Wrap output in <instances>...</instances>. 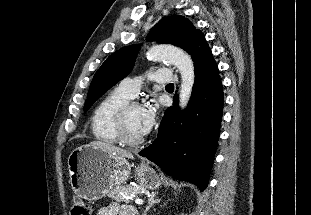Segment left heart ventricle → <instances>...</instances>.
Masks as SVG:
<instances>
[{"label": "left heart ventricle", "instance_id": "b2bd125f", "mask_svg": "<svg viewBox=\"0 0 311 215\" xmlns=\"http://www.w3.org/2000/svg\"><path fill=\"white\" fill-rule=\"evenodd\" d=\"M141 107H134L129 110L126 116V124H127V129L133 138H142L143 136L141 135L138 127V121H139V116L141 113Z\"/></svg>", "mask_w": 311, "mask_h": 215}]
</instances>
